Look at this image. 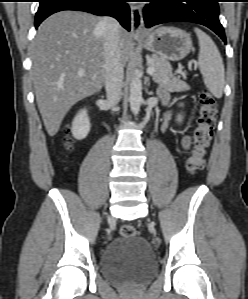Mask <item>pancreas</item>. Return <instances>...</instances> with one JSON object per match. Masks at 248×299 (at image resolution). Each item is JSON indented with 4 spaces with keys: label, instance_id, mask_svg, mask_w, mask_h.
Returning a JSON list of instances; mask_svg holds the SVG:
<instances>
[{
    "label": "pancreas",
    "instance_id": "1",
    "mask_svg": "<svg viewBox=\"0 0 248 299\" xmlns=\"http://www.w3.org/2000/svg\"><path fill=\"white\" fill-rule=\"evenodd\" d=\"M149 66L155 68L152 74L153 80L162 87L167 88L169 91H185L189 86L179 77H175L170 63L158 55H152L151 63Z\"/></svg>",
    "mask_w": 248,
    "mask_h": 299
}]
</instances>
